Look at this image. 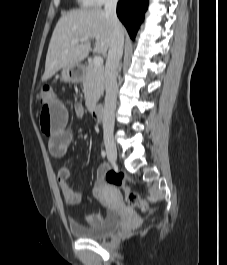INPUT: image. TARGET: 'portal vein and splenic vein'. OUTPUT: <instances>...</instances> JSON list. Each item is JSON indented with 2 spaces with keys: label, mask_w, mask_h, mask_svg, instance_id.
Here are the masks:
<instances>
[{
  "label": "portal vein and splenic vein",
  "mask_w": 227,
  "mask_h": 265,
  "mask_svg": "<svg viewBox=\"0 0 227 265\" xmlns=\"http://www.w3.org/2000/svg\"><path fill=\"white\" fill-rule=\"evenodd\" d=\"M84 41H89V38H81V39H76L73 41V44L74 43H79V42H84ZM93 64L96 66V67H102L103 65V58L100 57V56H95L93 58Z\"/></svg>",
  "instance_id": "18ae733b"
}]
</instances>
